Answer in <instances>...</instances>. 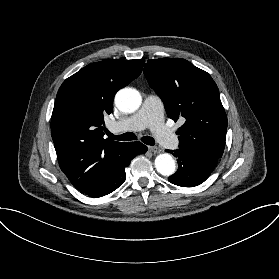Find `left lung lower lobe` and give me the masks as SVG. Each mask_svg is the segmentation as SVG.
Wrapping results in <instances>:
<instances>
[{
  "label": "left lung lower lobe",
  "instance_id": "0a47b994",
  "mask_svg": "<svg viewBox=\"0 0 279 279\" xmlns=\"http://www.w3.org/2000/svg\"><path fill=\"white\" fill-rule=\"evenodd\" d=\"M178 158V171L168 178L172 184L182 187H194L204 182L212 173L218 159L179 148L166 150Z\"/></svg>",
  "mask_w": 279,
  "mask_h": 279
}]
</instances>
